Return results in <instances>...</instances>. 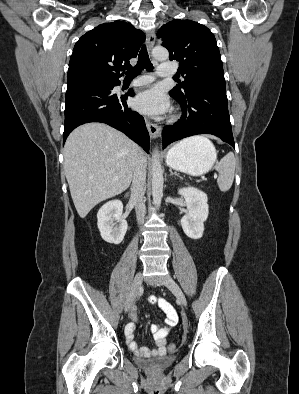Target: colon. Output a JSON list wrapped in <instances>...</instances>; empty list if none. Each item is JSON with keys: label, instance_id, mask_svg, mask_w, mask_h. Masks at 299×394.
I'll use <instances>...</instances> for the list:
<instances>
[{"label": "colon", "instance_id": "colon-1", "mask_svg": "<svg viewBox=\"0 0 299 394\" xmlns=\"http://www.w3.org/2000/svg\"><path fill=\"white\" fill-rule=\"evenodd\" d=\"M169 349H170V350H173V349H174V346H173V345H169Z\"/></svg>", "mask_w": 299, "mask_h": 394}]
</instances>
